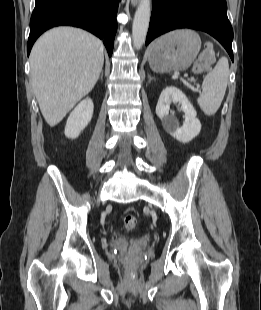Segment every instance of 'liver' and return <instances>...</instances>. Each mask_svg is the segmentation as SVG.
Returning <instances> with one entry per match:
<instances>
[{
	"mask_svg": "<svg viewBox=\"0 0 261 310\" xmlns=\"http://www.w3.org/2000/svg\"><path fill=\"white\" fill-rule=\"evenodd\" d=\"M103 50L97 37L74 27L53 28L36 41L30 54L31 81L50 127L94 88L104 63Z\"/></svg>",
	"mask_w": 261,
	"mask_h": 310,
	"instance_id": "1",
	"label": "liver"
}]
</instances>
